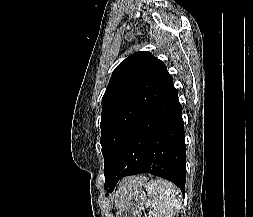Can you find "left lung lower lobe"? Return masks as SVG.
I'll return each mask as SVG.
<instances>
[{"label": "left lung lower lobe", "instance_id": "left-lung-lower-lobe-1", "mask_svg": "<svg viewBox=\"0 0 253 217\" xmlns=\"http://www.w3.org/2000/svg\"><path fill=\"white\" fill-rule=\"evenodd\" d=\"M185 164L181 104L178 91L172 86L126 132L104 188L112 192L117 182L125 176L150 173L172 181L184 193Z\"/></svg>", "mask_w": 253, "mask_h": 217}]
</instances>
